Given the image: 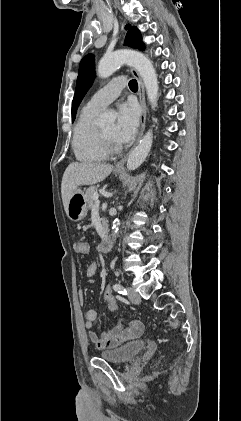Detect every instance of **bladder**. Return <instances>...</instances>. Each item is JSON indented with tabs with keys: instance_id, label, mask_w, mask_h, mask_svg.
<instances>
[{
	"instance_id": "31cf9c89",
	"label": "bladder",
	"mask_w": 241,
	"mask_h": 421,
	"mask_svg": "<svg viewBox=\"0 0 241 421\" xmlns=\"http://www.w3.org/2000/svg\"><path fill=\"white\" fill-rule=\"evenodd\" d=\"M145 348L144 340H135L115 349L103 351L100 353V357L110 363L124 364L133 360Z\"/></svg>"
}]
</instances>
